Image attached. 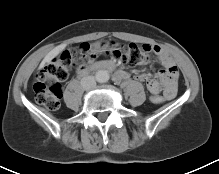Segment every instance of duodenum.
Segmentation results:
<instances>
[{
  "label": "duodenum",
  "mask_w": 219,
  "mask_h": 174,
  "mask_svg": "<svg viewBox=\"0 0 219 174\" xmlns=\"http://www.w3.org/2000/svg\"><path fill=\"white\" fill-rule=\"evenodd\" d=\"M112 65L110 63H96L91 65L90 67H81L78 70V73L80 75H86L89 73V71L92 70H108L111 69Z\"/></svg>",
  "instance_id": "duodenum-1"
}]
</instances>
